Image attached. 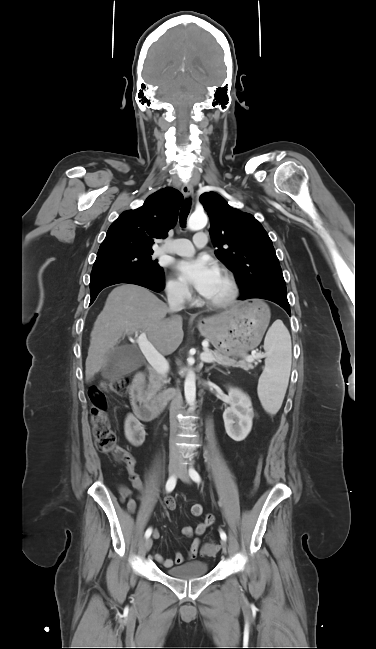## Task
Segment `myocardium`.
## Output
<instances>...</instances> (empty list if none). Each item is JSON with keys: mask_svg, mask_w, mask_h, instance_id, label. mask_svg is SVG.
Masks as SVG:
<instances>
[{"mask_svg": "<svg viewBox=\"0 0 376 649\" xmlns=\"http://www.w3.org/2000/svg\"><path fill=\"white\" fill-rule=\"evenodd\" d=\"M219 272L225 277L229 284L228 295L219 301H210L206 298L203 299L204 304L212 309H224L231 306L239 295V287L234 275L226 268H220Z\"/></svg>", "mask_w": 376, "mask_h": 649, "instance_id": "1", "label": "myocardium"}]
</instances>
